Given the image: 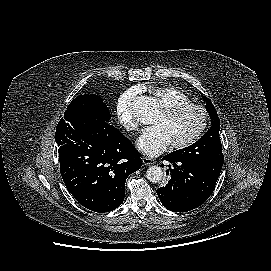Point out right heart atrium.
<instances>
[{
	"instance_id": "d8ad5b80",
	"label": "right heart atrium",
	"mask_w": 271,
	"mask_h": 271,
	"mask_svg": "<svg viewBox=\"0 0 271 271\" xmlns=\"http://www.w3.org/2000/svg\"><path fill=\"white\" fill-rule=\"evenodd\" d=\"M139 89L130 88L122 93L116 104V113L119 123L128 131L133 132L138 129V123L133 115L132 106L138 97Z\"/></svg>"
}]
</instances>
